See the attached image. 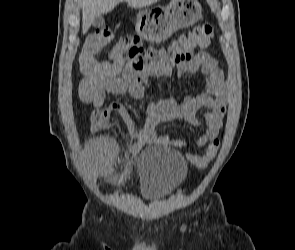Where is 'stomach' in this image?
<instances>
[{"label": "stomach", "mask_w": 295, "mask_h": 250, "mask_svg": "<svg viewBox=\"0 0 295 250\" xmlns=\"http://www.w3.org/2000/svg\"><path fill=\"white\" fill-rule=\"evenodd\" d=\"M202 18V7L197 0H171L166 6L139 10L136 30L150 45H161L176 30L195 24Z\"/></svg>", "instance_id": "0dacf381"}]
</instances>
